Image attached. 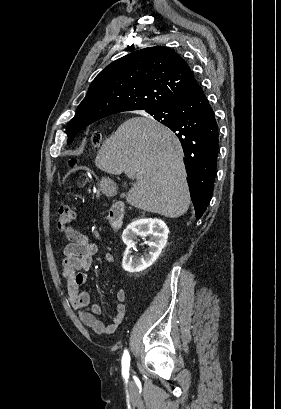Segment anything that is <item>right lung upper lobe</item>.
I'll return each instance as SVG.
<instances>
[{
	"label": "right lung upper lobe",
	"mask_w": 281,
	"mask_h": 409,
	"mask_svg": "<svg viewBox=\"0 0 281 409\" xmlns=\"http://www.w3.org/2000/svg\"><path fill=\"white\" fill-rule=\"evenodd\" d=\"M198 88L192 71L172 49L132 52L101 71L67 127H86L111 114L164 108Z\"/></svg>",
	"instance_id": "cb5924a9"
}]
</instances>
